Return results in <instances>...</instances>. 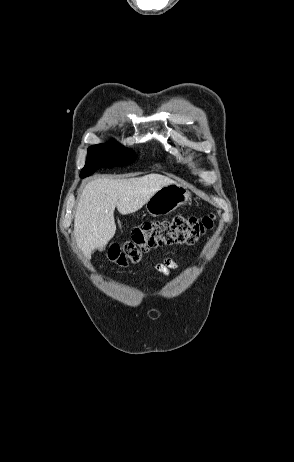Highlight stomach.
I'll return each instance as SVG.
<instances>
[{
    "instance_id": "1",
    "label": "stomach",
    "mask_w": 294,
    "mask_h": 462,
    "mask_svg": "<svg viewBox=\"0 0 294 462\" xmlns=\"http://www.w3.org/2000/svg\"><path fill=\"white\" fill-rule=\"evenodd\" d=\"M190 192L178 184L160 188L146 202L147 212L154 217L168 215L190 200Z\"/></svg>"
}]
</instances>
